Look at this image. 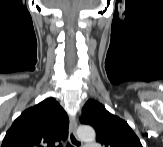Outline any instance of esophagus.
Wrapping results in <instances>:
<instances>
[{
    "label": "esophagus",
    "mask_w": 163,
    "mask_h": 147,
    "mask_svg": "<svg viewBox=\"0 0 163 147\" xmlns=\"http://www.w3.org/2000/svg\"><path fill=\"white\" fill-rule=\"evenodd\" d=\"M77 122L74 117H70L69 141L74 147H82L83 142L77 137Z\"/></svg>",
    "instance_id": "esophagus-1"
}]
</instances>
